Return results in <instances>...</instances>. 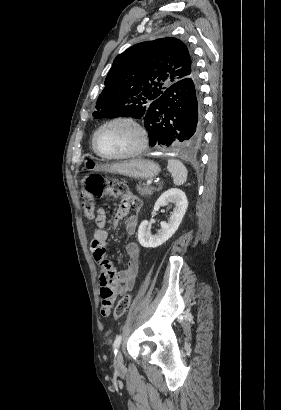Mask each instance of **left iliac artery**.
<instances>
[{
  "label": "left iliac artery",
  "mask_w": 281,
  "mask_h": 410,
  "mask_svg": "<svg viewBox=\"0 0 281 410\" xmlns=\"http://www.w3.org/2000/svg\"><path fill=\"white\" fill-rule=\"evenodd\" d=\"M121 340H122V336L119 335L116 337L114 343H113V348H114V354L117 353V349L119 348L120 344H121Z\"/></svg>",
  "instance_id": "left-iliac-artery-1"
}]
</instances>
